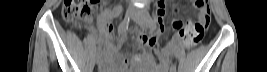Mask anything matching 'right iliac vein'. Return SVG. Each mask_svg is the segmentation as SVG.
<instances>
[{
	"label": "right iliac vein",
	"instance_id": "1",
	"mask_svg": "<svg viewBox=\"0 0 267 72\" xmlns=\"http://www.w3.org/2000/svg\"><path fill=\"white\" fill-rule=\"evenodd\" d=\"M130 14H131L130 12H127V13H126V18L129 17ZM100 57H101L100 55L97 56V58H96V63H98V62L100 61Z\"/></svg>",
	"mask_w": 267,
	"mask_h": 72
}]
</instances>
